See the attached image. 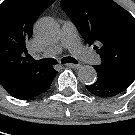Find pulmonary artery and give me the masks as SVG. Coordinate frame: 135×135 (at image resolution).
<instances>
[{
  "mask_svg": "<svg viewBox=\"0 0 135 135\" xmlns=\"http://www.w3.org/2000/svg\"><path fill=\"white\" fill-rule=\"evenodd\" d=\"M68 49L75 57L82 59L90 64L99 62V57L92 50L84 48L78 39L75 25L67 21L62 26L61 42L59 45L46 49L42 56L53 57L62 52L63 49Z\"/></svg>",
  "mask_w": 135,
  "mask_h": 135,
  "instance_id": "e3ab8cb5",
  "label": "pulmonary artery"
}]
</instances>
